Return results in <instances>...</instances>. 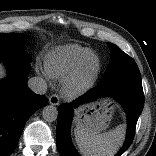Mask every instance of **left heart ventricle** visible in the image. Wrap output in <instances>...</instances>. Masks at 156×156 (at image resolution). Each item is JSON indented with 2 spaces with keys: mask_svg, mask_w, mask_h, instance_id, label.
I'll return each instance as SVG.
<instances>
[{
  "mask_svg": "<svg viewBox=\"0 0 156 156\" xmlns=\"http://www.w3.org/2000/svg\"><path fill=\"white\" fill-rule=\"evenodd\" d=\"M94 68H95V61L90 59L87 62L86 66L83 70L82 79L83 80L89 79L94 71Z\"/></svg>",
  "mask_w": 156,
  "mask_h": 156,
  "instance_id": "obj_1",
  "label": "left heart ventricle"
}]
</instances>
